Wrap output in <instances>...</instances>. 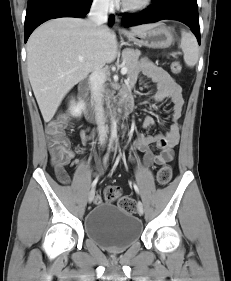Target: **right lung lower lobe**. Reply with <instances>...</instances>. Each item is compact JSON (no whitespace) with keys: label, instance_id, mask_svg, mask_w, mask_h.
Wrapping results in <instances>:
<instances>
[{"label":"right lung lower lobe","instance_id":"right-lung-lower-lobe-1","mask_svg":"<svg viewBox=\"0 0 231 281\" xmlns=\"http://www.w3.org/2000/svg\"><path fill=\"white\" fill-rule=\"evenodd\" d=\"M92 0H28L25 17V42L30 34L42 23L52 18H83L89 12ZM111 16L109 24L112 25Z\"/></svg>","mask_w":231,"mask_h":281}]
</instances>
